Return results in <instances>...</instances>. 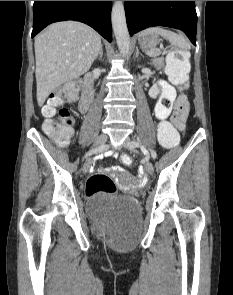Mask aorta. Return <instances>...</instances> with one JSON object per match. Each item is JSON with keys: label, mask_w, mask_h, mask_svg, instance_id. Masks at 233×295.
Returning <instances> with one entry per match:
<instances>
[{"label": "aorta", "mask_w": 233, "mask_h": 295, "mask_svg": "<svg viewBox=\"0 0 233 295\" xmlns=\"http://www.w3.org/2000/svg\"><path fill=\"white\" fill-rule=\"evenodd\" d=\"M111 18L119 51L123 56H126L130 48V35L126 24L124 4L122 1H115Z\"/></svg>", "instance_id": "1"}]
</instances>
